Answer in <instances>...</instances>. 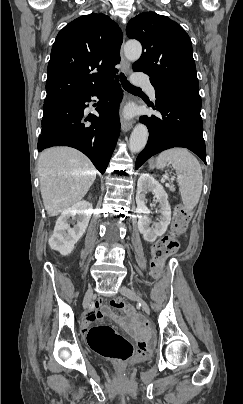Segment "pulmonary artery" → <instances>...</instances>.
<instances>
[{
    "instance_id": "pulmonary-artery-1",
    "label": "pulmonary artery",
    "mask_w": 243,
    "mask_h": 404,
    "mask_svg": "<svg viewBox=\"0 0 243 404\" xmlns=\"http://www.w3.org/2000/svg\"><path fill=\"white\" fill-rule=\"evenodd\" d=\"M145 89L148 93V95L155 100L156 98V91H155V87L153 86L152 83H148L147 85H145Z\"/></svg>"
}]
</instances>
